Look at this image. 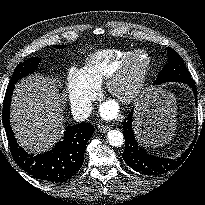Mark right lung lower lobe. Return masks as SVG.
<instances>
[{
    "mask_svg": "<svg viewBox=\"0 0 205 205\" xmlns=\"http://www.w3.org/2000/svg\"><path fill=\"white\" fill-rule=\"evenodd\" d=\"M14 84L5 93L2 121L15 162L26 173L51 183H62L72 178L83 164L87 141L94 132L91 123L76 124L65 128L62 140L44 154H28L16 142L10 126V102Z\"/></svg>",
    "mask_w": 205,
    "mask_h": 205,
    "instance_id": "98d812e1",
    "label": "right lung lower lobe"
}]
</instances>
